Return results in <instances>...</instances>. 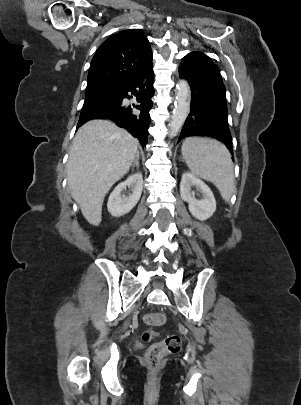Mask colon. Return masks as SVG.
I'll use <instances>...</instances> for the list:
<instances>
[{
	"mask_svg": "<svg viewBox=\"0 0 301 405\" xmlns=\"http://www.w3.org/2000/svg\"><path fill=\"white\" fill-rule=\"evenodd\" d=\"M144 323L150 327H157L165 322V317L160 313H149L143 318ZM142 339L149 342L151 332L145 331L142 334ZM181 339L178 335H169L164 340L152 344L145 353L146 364L154 370L160 368L163 359L169 354L178 353L181 349Z\"/></svg>",
	"mask_w": 301,
	"mask_h": 405,
	"instance_id": "5ec220e1",
	"label": "colon"
}]
</instances>
